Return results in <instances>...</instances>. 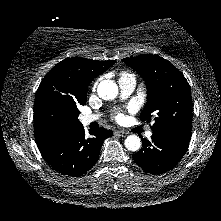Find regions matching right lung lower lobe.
I'll return each instance as SVG.
<instances>
[{
	"label": "right lung lower lobe",
	"instance_id": "1",
	"mask_svg": "<svg viewBox=\"0 0 221 221\" xmlns=\"http://www.w3.org/2000/svg\"><path fill=\"white\" fill-rule=\"evenodd\" d=\"M85 134L82 125L40 151L47 163L62 175L81 176L97 162L104 139L111 130L99 128Z\"/></svg>",
	"mask_w": 221,
	"mask_h": 221
}]
</instances>
